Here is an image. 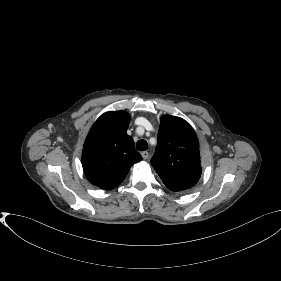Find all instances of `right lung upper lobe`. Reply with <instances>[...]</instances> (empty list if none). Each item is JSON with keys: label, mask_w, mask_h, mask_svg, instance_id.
Wrapping results in <instances>:
<instances>
[{"label": "right lung upper lobe", "mask_w": 281, "mask_h": 281, "mask_svg": "<svg viewBox=\"0 0 281 281\" xmlns=\"http://www.w3.org/2000/svg\"><path fill=\"white\" fill-rule=\"evenodd\" d=\"M130 115L111 111L101 115L92 126L84 143L82 166L93 185L109 190L117 187L131 166L142 160L134 141L126 133Z\"/></svg>", "instance_id": "right-lung-upper-lobe-1"}]
</instances>
